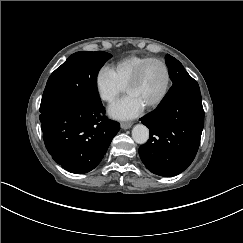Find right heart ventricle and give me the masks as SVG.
<instances>
[{"instance_id": "obj_1", "label": "right heart ventricle", "mask_w": 243, "mask_h": 243, "mask_svg": "<svg viewBox=\"0 0 243 243\" xmlns=\"http://www.w3.org/2000/svg\"><path fill=\"white\" fill-rule=\"evenodd\" d=\"M149 58H151V56L131 54L113 63L111 65V68L119 84L125 87L126 83L133 75V73L136 71L138 66Z\"/></svg>"}]
</instances>
